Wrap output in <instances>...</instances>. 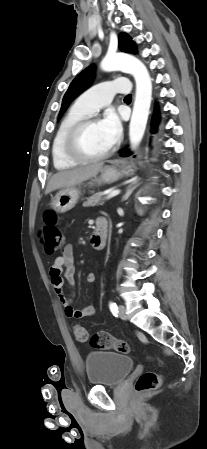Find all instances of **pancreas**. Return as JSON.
<instances>
[{
  "label": "pancreas",
  "mask_w": 207,
  "mask_h": 449,
  "mask_svg": "<svg viewBox=\"0 0 207 449\" xmlns=\"http://www.w3.org/2000/svg\"><path fill=\"white\" fill-rule=\"evenodd\" d=\"M102 196L101 193H96L93 196L89 197L87 201L83 203L84 207H93L96 205H102Z\"/></svg>",
  "instance_id": "1"
}]
</instances>
